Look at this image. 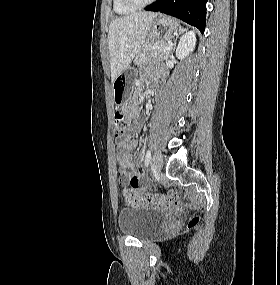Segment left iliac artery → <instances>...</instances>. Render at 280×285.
I'll list each match as a JSON object with an SVG mask.
<instances>
[{"label":"left iliac artery","instance_id":"44dca946","mask_svg":"<svg viewBox=\"0 0 280 285\" xmlns=\"http://www.w3.org/2000/svg\"><path fill=\"white\" fill-rule=\"evenodd\" d=\"M150 162H151V152L150 150H147L146 156H145V167H148Z\"/></svg>","mask_w":280,"mask_h":285}]
</instances>
